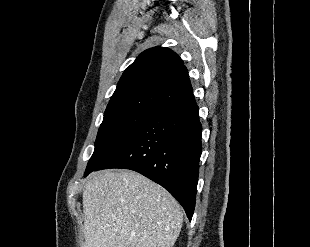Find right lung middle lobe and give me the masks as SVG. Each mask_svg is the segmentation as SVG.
Segmentation results:
<instances>
[{
  "label": "right lung middle lobe",
  "mask_w": 310,
  "mask_h": 247,
  "mask_svg": "<svg viewBox=\"0 0 310 247\" xmlns=\"http://www.w3.org/2000/svg\"><path fill=\"white\" fill-rule=\"evenodd\" d=\"M159 110L148 106L118 109L104 114L99 128L95 150L85 174L109 159L137 130Z\"/></svg>",
  "instance_id": "1"
}]
</instances>
